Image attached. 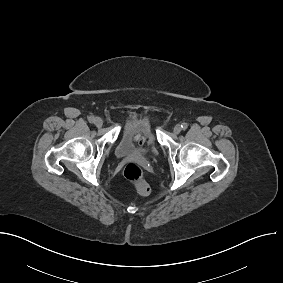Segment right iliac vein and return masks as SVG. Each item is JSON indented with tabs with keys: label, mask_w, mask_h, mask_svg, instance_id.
<instances>
[{
	"label": "right iliac vein",
	"mask_w": 283,
	"mask_h": 283,
	"mask_svg": "<svg viewBox=\"0 0 283 283\" xmlns=\"http://www.w3.org/2000/svg\"><path fill=\"white\" fill-rule=\"evenodd\" d=\"M94 124H95L98 128H100V127H102V125H103V120H102L100 117H96L95 120H94Z\"/></svg>",
	"instance_id": "obj_1"
}]
</instances>
